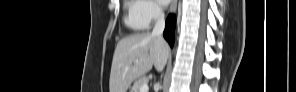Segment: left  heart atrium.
Returning a JSON list of instances; mask_svg holds the SVG:
<instances>
[{
  "instance_id": "39dd6f15",
  "label": "left heart atrium",
  "mask_w": 296,
  "mask_h": 92,
  "mask_svg": "<svg viewBox=\"0 0 296 92\" xmlns=\"http://www.w3.org/2000/svg\"><path fill=\"white\" fill-rule=\"evenodd\" d=\"M158 3L161 5H166L168 3V1L167 0H159Z\"/></svg>"
}]
</instances>
